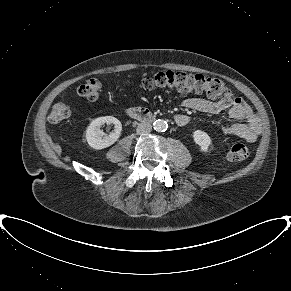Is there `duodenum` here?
<instances>
[{"label":"duodenum","instance_id":"obj_1","mask_svg":"<svg viewBox=\"0 0 291 291\" xmlns=\"http://www.w3.org/2000/svg\"><path fill=\"white\" fill-rule=\"evenodd\" d=\"M127 114L132 119L142 122H151L155 119V116L148 109L143 107L130 108Z\"/></svg>","mask_w":291,"mask_h":291}]
</instances>
